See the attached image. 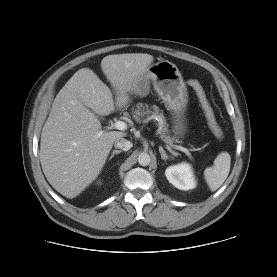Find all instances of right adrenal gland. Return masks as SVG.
<instances>
[{
  "label": "right adrenal gland",
  "mask_w": 277,
  "mask_h": 277,
  "mask_svg": "<svg viewBox=\"0 0 277 277\" xmlns=\"http://www.w3.org/2000/svg\"><path fill=\"white\" fill-rule=\"evenodd\" d=\"M120 153H121V150H113L111 153V156L109 157V160H111L115 154H120Z\"/></svg>",
  "instance_id": "2a0ac1e0"
}]
</instances>
